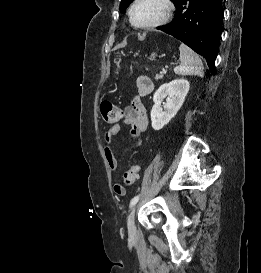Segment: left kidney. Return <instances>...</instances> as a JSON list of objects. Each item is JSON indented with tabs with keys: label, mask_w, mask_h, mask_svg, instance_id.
<instances>
[{
	"label": "left kidney",
	"mask_w": 261,
	"mask_h": 273,
	"mask_svg": "<svg viewBox=\"0 0 261 273\" xmlns=\"http://www.w3.org/2000/svg\"><path fill=\"white\" fill-rule=\"evenodd\" d=\"M189 88V82L185 79H175L159 87L153 96L154 105L151 110L154 130H161L177 114L184 103ZM165 98L166 102H163Z\"/></svg>",
	"instance_id": "left-kidney-1"
}]
</instances>
